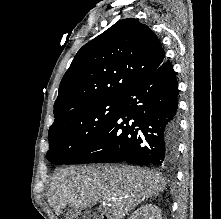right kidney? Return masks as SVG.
<instances>
[{
  "label": "right kidney",
  "instance_id": "right-kidney-1",
  "mask_svg": "<svg viewBox=\"0 0 221 219\" xmlns=\"http://www.w3.org/2000/svg\"><path fill=\"white\" fill-rule=\"evenodd\" d=\"M129 219H162L161 210L152 204L138 208Z\"/></svg>",
  "mask_w": 221,
  "mask_h": 219
}]
</instances>
